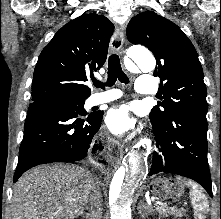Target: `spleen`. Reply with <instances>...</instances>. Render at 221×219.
I'll return each mask as SVG.
<instances>
[{
	"mask_svg": "<svg viewBox=\"0 0 221 219\" xmlns=\"http://www.w3.org/2000/svg\"><path fill=\"white\" fill-rule=\"evenodd\" d=\"M178 179H181V177H178ZM185 184L191 188L190 196L196 218L204 219L209 211V204L205 194L196 183L187 180Z\"/></svg>",
	"mask_w": 221,
	"mask_h": 219,
	"instance_id": "3e777b00",
	"label": "spleen"
}]
</instances>
